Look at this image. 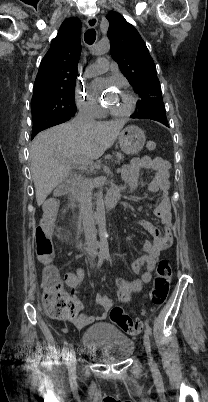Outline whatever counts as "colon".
<instances>
[{"instance_id":"obj_1","label":"colon","mask_w":208,"mask_h":402,"mask_svg":"<svg viewBox=\"0 0 208 402\" xmlns=\"http://www.w3.org/2000/svg\"><path fill=\"white\" fill-rule=\"evenodd\" d=\"M156 147L154 141H149L146 144V149L150 152H154ZM51 238L50 232H45L43 227L38 228L36 257L39 259L40 265H45L42 275L45 280L43 290L46 293L45 299H42V308H47V314H68L69 317H75L78 315L76 305L80 304V299H71L73 294L71 278L60 276L58 263L52 256L54 244L50 241ZM171 277V263L167 260H161L157 265L154 284L149 292V308L151 311L153 308L164 305L169 292ZM110 319L125 333L136 334L139 329L138 322L134 321L121 306L111 308Z\"/></svg>"}]
</instances>
